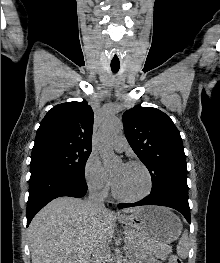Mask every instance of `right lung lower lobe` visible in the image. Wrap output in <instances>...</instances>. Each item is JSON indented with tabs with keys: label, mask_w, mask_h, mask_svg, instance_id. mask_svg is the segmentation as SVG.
Wrapping results in <instances>:
<instances>
[{
	"label": "right lung lower lobe",
	"mask_w": 220,
	"mask_h": 263,
	"mask_svg": "<svg viewBox=\"0 0 220 263\" xmlns=\"http://www.w3.org/2000/svg\"><path fill=\"white\" fill-rule=\"evenodd\" d=\"M87 192L84 176L48 167H31L29 198L27 202V226L36 213L51 200L69 196L80 198Z\"/></svg>",
	"instance_id": "obj_1"
}]
</instances>
